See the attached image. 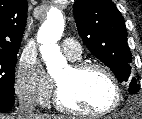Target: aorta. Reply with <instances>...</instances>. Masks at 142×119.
<instances>
[{"label":"aorta","instance_id":"obj_1","mask_svg":"<svg viewBox=\"0 0 142 119\" xmlns=\"http://www.w3.org/2000/svg\"><path fill=\"white\" fill-rule=\"evenodd\" d=\"M63 31L64 19L62 12L56 8L51 9L37 34V41L41 44L40 53L46 61L50 75L58 73L67 66V61L57 45V41L61 38Z\"/></svg>","mask_w":142,"mask_h":119}]
</instances>
